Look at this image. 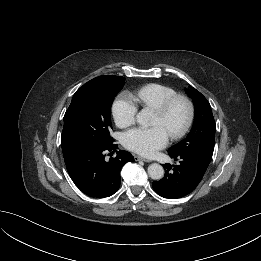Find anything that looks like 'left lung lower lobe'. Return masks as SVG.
Wrapping results in <instances>:
<instances>
[{
    "mask_svg": "<svg viewBox=\"0 0 261 261\" xmlns=\"http://www.w3.org/2000/svg\"><path fill=\"white\" fill-rule=\"evenodd\" d=\"M177 165L165 164L164 178L152 183L156 193L164 198L176 199L190 194L201 182L207 168L195 159L172 156Z\"/></svg>",
    "mask_w": 261,
    "mask_h": 261,
    "instance_id": "1",
    "label": "left lung lower lobe"
}]
</instances>
